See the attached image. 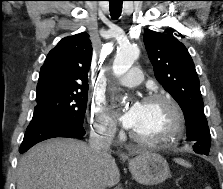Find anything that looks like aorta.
I'll return each mask as SVG.
<instances>
[{
  "instance_id": "762f6f07",
  "label": "aorta",
  "mask_w": 223,
  "mask_h": 189,
  "mask_svg": "<svg viewBox=\"0 0 223 189\" xmlns=\"http://www.w3.org/2000/svg\"><path fill=\"white\" fill-rule=\"evenodd\" d=\"M139 57V49L137 46L128 45L119 48L113 62V73L120 77L124 75Z\"/></svg>"
}]
</instances>
